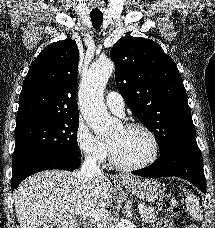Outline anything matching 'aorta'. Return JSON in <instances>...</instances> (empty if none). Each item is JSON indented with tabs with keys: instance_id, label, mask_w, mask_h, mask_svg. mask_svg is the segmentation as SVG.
Returning <instances> with one entry per match:
<instances>
[{
	"instance_id": "aorta-1",
	"label": "aorta",
	"mask_w": 215,
	"mask_h": 228,
	"mask_svg": "<svg viewBox=\"0 0 215 228\" xmlns=\"http://www.w3.org/2000/svg\"><path fill=\"white\" fill-rule=\"evenodd\" d=\"M114 70L115 64L111 60H97L81 84V114L96 136H107L112 130V120L103 104L102 92Z\"/></svg>"
}]
</instances>
